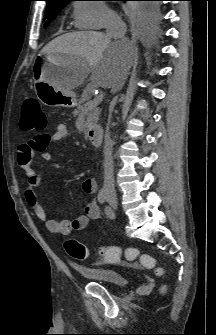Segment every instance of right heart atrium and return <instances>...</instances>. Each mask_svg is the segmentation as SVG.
Here are the masks:
<instances>
[{"label":"right heart atrium","mask_w":216,"mask_h":335,"mask_svg":"<svg viewBox=\"0 0 216 335\" xmlns=\"http://www.w3.org/2000/svg\"><path fill=\"white\" fill-rule=\"evenodd\" d=\"M76 25L82 29H101L109 23L120 20L117 13L99 1H77L74 4Z\"/></svg>","instance_id":"d8ad5b80"}]
</instances>
